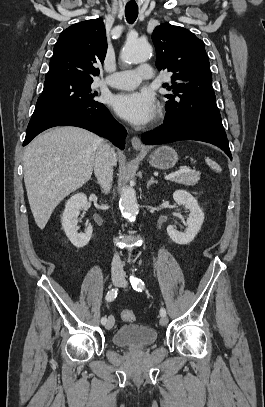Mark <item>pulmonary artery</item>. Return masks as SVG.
Masks as SVG:
<instances>
[{
    "label": "pulmonary artery",
    "instance_id": "pulmonary-artery-1",
    "mask_svg": "<svg viewBox=\"0 0 265 407\" xmlns=\"http://www.w3.org/2000/svg\"><path fill=\"white\" fill-rule=\"evenodd\" d=\"M153 79V70L150 65L139 66L135 70L118 71L103 79V82L116 89H132L143 80Z\"/></svg>",
    "mask_w": 265,
    "mask_h": 407
}]
</instances>
